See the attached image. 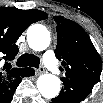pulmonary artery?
Wrapping results in <instances>:
<instances>
[{"instance_id":"pulmonary-artery-1","label":"pulmonary artery","mask_w":103,"mask_h":103,"mask_svg":"<svg viewBox=\"0 0 103 103\" xmlns=\"http://www.w3.org/2000/svg\"><path fill=\"white\" fill-rule=\"evenodd\" d=\"M44 63L53 72L58 74L59 69L55 60V56L51 50H48L44 54Z\"/></svg>"}]
</instances>
